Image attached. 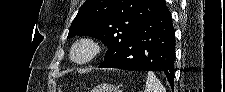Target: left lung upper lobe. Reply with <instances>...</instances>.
Wrapping results in <instances>:
<instances>
[{
  "label": "left lung upper lobe",
  "instance_id": "left-lung-upper-lobe-1",
  "mask_svg": "<svg viewBox=\"0 0 225 92\" xmlns=\"http://www.w3.org/2000/svg\"><path fill=\"white\" fill-rule=\"evenodd\" d=\"M165 5V0H86L70 26L68 38L86 35L100 39L109 47L107 60Z\"/></svg>",
  "mask_w": 225,
  "mask_h": 92
}]
</instances>
